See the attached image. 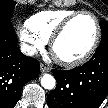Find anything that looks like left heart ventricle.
<instances>
[{
  "instance_id": "b2bd125f",
  "label": "left heart ventricle",
  "mask_w": 108,
  "mask_h": 108,
  "mask_svg": "<svg viewBox=\"0 0 108 108\" xmlns=\"http://www.w3.org/2000/svg\"><path fill=\"white\" fill-rule=\"evenodd\" d=\"M95 34V23L90 16L84 15L77 18L57 42L56 55L64 59L81 56L91 46Z\"/></svg>"
}]
</instances>
